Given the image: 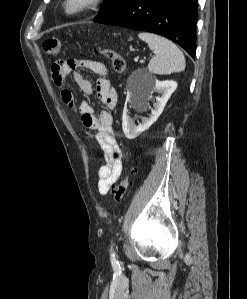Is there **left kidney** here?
Masks as SVG:
<instances>
[{
	"label": "left kidney",
	"instance_id": "5707ae66",
	"mask_svg": "<svg viewBox=\"0 0 247 299\" xmlns=\"http://www.w3.org/2000/svg\"><path fill=\"white\" fill-rule=\"evenodd\" d=\"M177 83L175 81H159L156 80L147 92L141 93L136 90H130L127 93V102L138 110H145L149 105V100L152 99V94L158 92L161 97L156 98L153 103L154 109L151 110V117L144 118L142 123L136 126L133 120L128 116L127 110L123 111L122 129L128 139H135L139 134L147 130L159 118L164 110V107L172 93L176 90Z\"/></svg>",
	"mask_w": 247,
	"mask_h": 299
}]
</instances>
